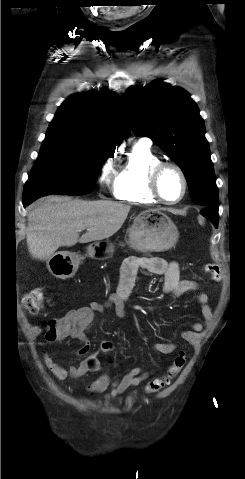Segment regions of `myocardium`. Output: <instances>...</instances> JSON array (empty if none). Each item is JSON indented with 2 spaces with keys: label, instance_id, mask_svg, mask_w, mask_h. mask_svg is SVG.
<instances>
[{
  "label": "myocardium",
  "instance_id": "obj_1",
  "mask_svg": "<svg viewBox=\"0 0 245 479\" xmlns=\"http://www.w3.org/2000/svg\"><path fill=\"white\" fill-rule=\"evenodd\" d=\"M168 169L176 171L182 182V193L180 197L174 201L167 200L160 190L161 177ZM149 188L151 193L157 198L158 201L164 204L173 205L181 202L185 198L188 191V180L184 170L177 163L170 161H161L151 170L149 176Z\"/></svg>",
  "mask_w": 245,
  "mask_h": 479
}]
</instances>
